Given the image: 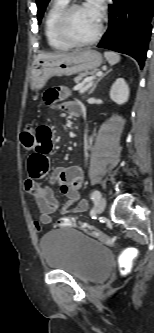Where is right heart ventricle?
<instances>
[{
    "mask_svg": "<svg viewBox=\"0 0 154 333\" xmlns=\"http://www.w3.org/2000/svg\"><path fill=\"white\" fill-rule=\"evenodd\" d=\"M70 0H52L44 19V34L48 45L57 51H67L73 46L64 42L56 30L57 18L62 9L69 3Z\"/></svg>",
    "mask_w": 154,
    "mask_h": 333,
    "instance_id": "obj_1",
    "label": "right heart ventricle"
}]
</instances>
